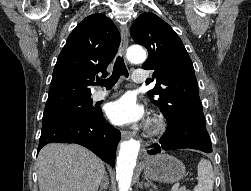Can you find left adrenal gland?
Instances as JSON below:
<instances>
[{"label": "left adrenal gland", "instance_id": "obj_1", "mask_svg": "<svg viewBox=\"0 0 251 191\" xmlns=\"http://www.w3.org/2000/svg\"><path fill=\"white\" fill-rule=\"evenodd\" d=\"M144 185H146V187H149V185H151V187H153V189H157V185H154V183H152V181H149V179H147V181H145Z\"/></svg>", "mask_w": 251, "mask_h": 191}]
</instances>
